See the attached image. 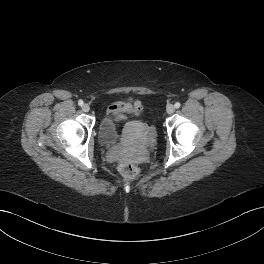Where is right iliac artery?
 I'll use <instances>...</instances> for the list:
<instances>
[{
	"label": "right iliac artery",
	"mask_w": 264,
	"mask_h": 264,
	"mask_svg": "<svg viewBox=\"0 0 264 264\" xmlns=\"http://www.w3.org/2000/svg\"><path fill=\"white\" fill-rule=\"evenodd\" d=\"M83 104H84V102H83L82 100H79V101H78V105H79V106H83Z\"/></svg>",
	"instance_id": "obj_1"
}]
</instances>
